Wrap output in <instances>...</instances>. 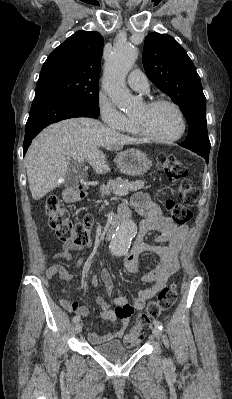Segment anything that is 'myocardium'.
Instances as JSON below:
<instances>
[{"label": "myocardium", "mask_w": 232, "mask_h": 399, "mask_svg": "<svg viewBox=\"0 0 232 399\" xmlns=\"http://www.w3.org/2000/svg\"><path fill=\"white\" fill-rule=\"evenodd\" d=\"M159 105H170L175 108V110L179 114L180 121H181L180 132L176 136L171 137V138H157V137L150 135L148 132H146L145 129L143 128L141 122L139 120L133 118L132 122H133V125L135 127L137 134L142 139H144L148 142H152V143L166 144V143H172V142L180 140L184 136L186 129H187V122H186L185 114H184L182 108L175 102L170 101V100H165V99H155V100H150V101H147L144 103V106L146 108H153V107H156Z\"/></svg>", "instance_id": "f54148a6"}]
</instances>
